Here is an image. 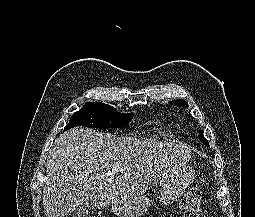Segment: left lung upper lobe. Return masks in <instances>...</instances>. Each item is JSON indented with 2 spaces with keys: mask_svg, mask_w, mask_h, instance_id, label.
<instances>
[{
  "mask_svg": "<svg viewBox=\"0 0 255 217\" xmlns=\"http://www.w3.org/2000/svg\"><path fill=\"white\" fill-rule=\"evenodd\" d=\"M170 103L172 104H178V105H182V106H186L188 107V103L183 101V100H174V101H171ZM199 140L204 143L205 145L209 146V143L208 141L204 138L203 136V131H200L199 132Z\"/></svg>",
  "mask_w": 255,
  "mask_h": 217,
  "instance_id": "left-lung-upper-lobe-1",
  "label": "left lung upper lobe"
}]
</instances>
